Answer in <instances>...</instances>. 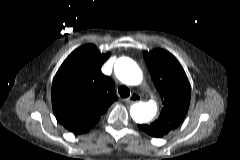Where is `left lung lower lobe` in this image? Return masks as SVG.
I'll list each match as a JSON object with an SVG mask.
<instances>
[{
  "mask_svg": "<svg viewBox=\"0 0 240 160\" xmlns=\"http://www.w3.org/2000/svg\"><path fill=\"white\" fill-rule=\"evenodd\" d=\"M140 129L144 132H146L148 135L152 136V137H155V138H161L164 136L163 133L157 131L156 129L150 127L149 125L147 124H142V125H139Z\"/></svg>",
  "mask_w": 240,
  "mask_h": 160,
  "instance_id": "obj_1",
  "label": "left lung lower lobe"
}]
</instances>
